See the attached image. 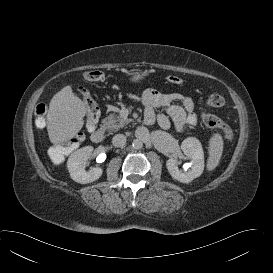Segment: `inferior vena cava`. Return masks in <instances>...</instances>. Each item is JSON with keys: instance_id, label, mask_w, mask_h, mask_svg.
Returning a JSON list of instances; mask_svg holds the SVG:
<instances>
[{"instance_id": "1", "label": "inferior vena cava", "mask_w": 273, "mask_h": 273, "mask_svg": "<svg viewBox=\"0 0 273 273\" xmlns=\"http://www.w3.org/2000/svg\"><path fill=\"white\" fill-rule=\"evenodd\" d=\"M112 143L115 147H123L126 143V136L123 134H116L112 139Z\"/></svg>"}]
</instances>
